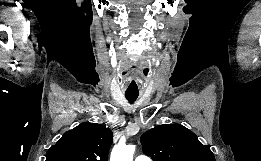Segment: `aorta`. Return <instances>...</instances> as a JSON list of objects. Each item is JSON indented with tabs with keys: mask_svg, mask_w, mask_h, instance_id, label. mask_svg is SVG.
Wrapping results in <instances>:
<instances>
[{
	"mask_svg": "<svg viewBox=\"0 0 261 161\" xmlns=\"http://www.w3.org/2000/svg\"><path fill=\"white\" fill-rule=\"evenodd\" d=\"M134 151L135 145L119 143L113 148L110 161H133Z\"/></svg>",
	"mask_w": 261,
	"mask_h": 161,
	"instance_id": "762f6f07",
	"label": "aorta"
}]
</instances>
